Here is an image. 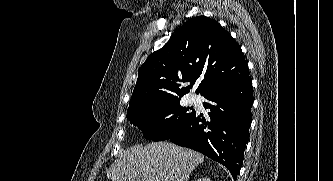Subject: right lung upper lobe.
Segmentation results:
<instances>
[{"label":"right lung upper lobe","mask_w":333,"mask_h":181,"mask_svg":"<svg viewBox=\"0 0 333 181\" xmlns=\"http://www.w3.org/2000/svg\"><path fill=\"white\" fill-rule=\"evenodd\" d=\"M247 77V62L231 35L215 20L194 17L139 68L128 110L149 101L181 98L191 87L181 82L200 79L196 92L203 96Z\"/></svg>","instance_id":"right-lung-upper-lobe-1"}]
</instances>
